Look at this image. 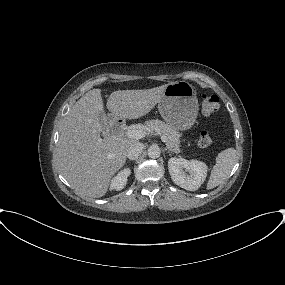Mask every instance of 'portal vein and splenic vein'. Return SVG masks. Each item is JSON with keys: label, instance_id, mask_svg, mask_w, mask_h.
Listing matches in <instances>:
<instances>
[{"label": "portal vein and splenic vein", "instance_id": "18ae733b", "mask_svg": "<svg viewBox=\"0 0 285 285\" xmlns=\"http://www.w3.org/2000/svg\"><path fill=\"white\" fill-rule=\"evenodd\" d=\"M125 136L130 139H142L146 136V132L140 128H130L125 132ZM162 142H166L165 136H161Z\"/></svg>", "mask_w": 285, "mask_h": 285}]
</instances>
